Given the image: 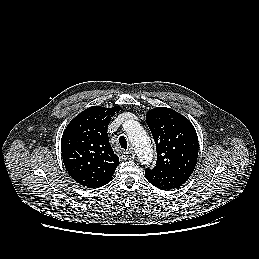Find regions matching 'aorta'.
<instances>
[{
	"instance_id": "762f6f07",
	"label": "aorta",
	"mask_w": 259,
	"mask_h": 259,
	"mask_svg": "<svg viewBox=\"0 0 259 259\" xmlns=\"http://www.w3.org/2000/svg\"><path fill=\"white\" fill-rule=\"evenodd\" d=\"M124 129L128 135L129 141L135 148L140 162L144 165H149L153 159V150L146 131L139 122L134 120L126 121Z\"/></svg>"
}]
</instances>
